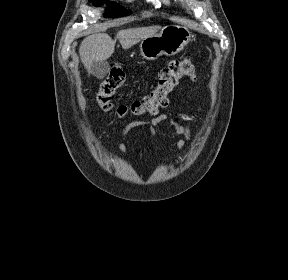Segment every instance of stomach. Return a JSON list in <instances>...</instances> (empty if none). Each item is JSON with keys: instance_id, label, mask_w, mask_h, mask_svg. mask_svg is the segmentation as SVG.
I'll list each match as a JSON object with an SVG mask.
<instances>
[{"instance_id": "stomach-1", "label": "stomach", "mask_w": 288, "mask_h": 280, "mask_svg": "<svg viewBox=\"0 0 288 280\" xmlns=\"http://www.w3.org/2000/svg\"><path fill=\"white\" fill-rule=\"evenodd\" d=\"M190 38V31L186 27L168 25L160 33L143 39L140 53L147 60H156L162 55L172 56L183 50Z\"/></svg>"}]
</instances>
